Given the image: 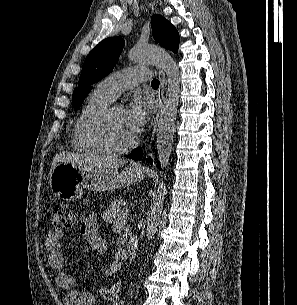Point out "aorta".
<instances>
[{"label": "aorta", "instance_id": "1", "mask_svg": "<svg viewBox=\"0 0 297 305\" xmlns=\"http://www.w3.org/2000/svg\"><path fill=\"white\" fill-rule=\"evenodd\" d=\"M129 58L134 62L156 65L164 70L167 75L168 87L156 128L157 152L162 167L161 176L166 178V168L169 164V158L172 151L173 135L180 97L181 79L179 68L173 58L165 50L154 46L136 45L130 50ZM166 193V185L162 181L158 185L151 208L147 215L146 236L149 241L154 238L157 231Z\"/></svg>", "mask_w": 297, "mask_h": 305}]
</instances>
